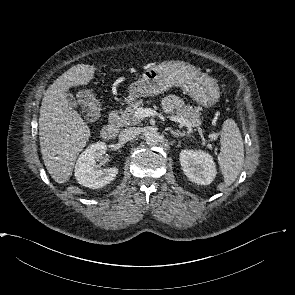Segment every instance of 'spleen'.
I'll list each match as a JSON object with an SVG mask.
<instances>
[{"label":"spleen","instance_id":"spleen-1","mask_svg":"<svg viewBox=\"0 0 295 295\" xmlns=\"http://www.w3.org/2000/svg\"><path fill=\"white\" fill-rule=\"evenodd\" d=\"M220 135L218 162L224 177V186H230L242 170L244 145L240 130L233 119L224 121Z\"/></svg>","mask_w":295,"mask_h":295}]
</instances>
